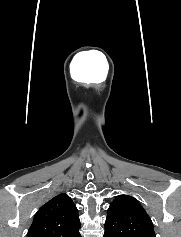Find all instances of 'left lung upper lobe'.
<instances>
[{"label":"left lung upper lobe","mask_w":181,"mask_h":237,"mask_svg":"<svg viewBox=\"0 0 181 237\" xmlns=\"http://www.w3.org/2000/svg\"><path fill=\"white\" fill-rule=\"evenodd\" d=\"M105 237H156L153 223L137 199L119 195L111 203Z\"/></svg>","instance_id":"obj_1"}]
</instances>
